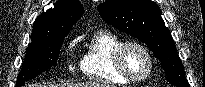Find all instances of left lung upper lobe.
<instances>
[{"mask_svg":"<svg viewBox=\"0 0 205 87\" xmlns=\"http://www.w3.org/2000/svg\"><path fill=\"white\" fill-rule=\"evenodd\" d=\"M102 19L143 41L161 62L167 80L177 87H190L173 38L151 0H107L98 5Z\"/></svg>","mask_w":205,"mask_h":87,"instance_id":"left-lung-upper-lobe-1","label":"left lung upper lobe"}]
</instances>
